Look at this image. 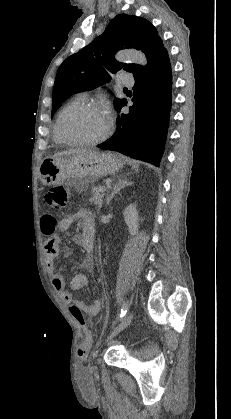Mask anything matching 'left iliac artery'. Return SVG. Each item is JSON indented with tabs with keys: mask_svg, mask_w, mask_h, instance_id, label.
Listing matches in <instances>:
<instances>
[{
	"mask_svg": "<svg viewBox=\"0 0 231 419\" xmlns=\"http://www.w3.org/2000/svg\"><path fill=\"white\" fill-rule=\"evenodd\" d=\"M128 304L127 303H123L121 306V312H120V318H122L123 316L126 315L127 311H128Z\"/></svg>",
	"mask_w": 231,
	"mask_h": 419,
	"instance_id": "44dca946",
	"label": "left iliac artery"
}]
</instances>
